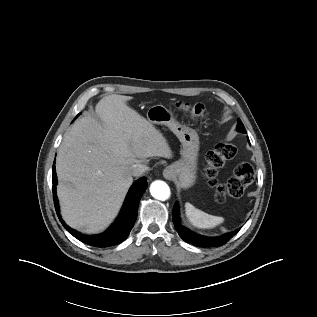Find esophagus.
<instances>
[{"mask_svg":"<svg viewBox=\"0 0 317 317\" xmlns=\"http://www.w3.org/2000/svg\"><path fill=\"white\" fill-rule=\"evenodd\" d=\"M163 175L166 179H172L174 177V173L173 170L170 168H166L163 172Z\"/></svg>","mask_w":317,"mask_h":317,"instance_id":"1","label":"esophagus"}]
</instances>
